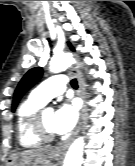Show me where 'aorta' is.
I'll return each instance as SVG.
<instances>
[{
    "instance_id": "1",
    "label": "aorta",
    "mask_w": 135,
    "mask_h": 166,
    "mask_svg": "<svg viewBox=\"0 0 135 166\" xmlns=\"http://www.w3.org/2000/svg\"><path fill=\"white\" fill-rule=\"evenodd\" d=\"M74 63L75 60L70 54H61L52 58L49 69L53 73H59L66 70ZM84 144V137H78L74 140L68 149L63 166H81Z\"/></svg>"
}]
</instances>
